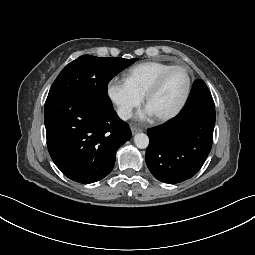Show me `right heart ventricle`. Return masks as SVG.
<instances>
[{
	"label": "right heart ventricle",
	"mask_w": 255,
	"mask_h": 255,
	"mask_svg": "<svg viewBox=\"0 0 255 255\" xmlns=\"http://www.w3.org/2000/svg\"><path fill=\"white\" fill-rule=\"evenodd\" d=\"M172 66L163 62H144L129 70L126 81L137 93L144 96L156 79Z\"/></svg>",
	"instance_id": "right-heart-ventricle-1"
}]
</instances>
